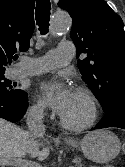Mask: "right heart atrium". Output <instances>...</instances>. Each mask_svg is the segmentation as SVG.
<instances>
[{"instance_id":"d8ad5b80","label":"right heart atrium","mask_w":125,"mask_h":167,"mask_svg":"<svg viewBox=\"0 0 125 167\" xmlns=\"http://www.w3.org/2000/svg\"><path fill=\"white\" fill-rule=\"evenodd\" d=\"M29 113L33 118L37 120H43L47 115L45 106L39 100L33 101L31 106L29 107Z\"/></svg>"}]
</instances>
